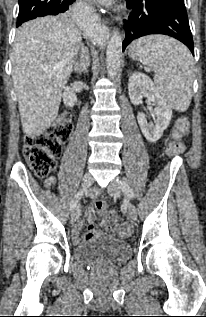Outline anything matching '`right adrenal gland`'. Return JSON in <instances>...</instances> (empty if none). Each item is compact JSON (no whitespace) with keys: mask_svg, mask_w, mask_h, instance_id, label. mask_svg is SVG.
Wrapping results in <instances>:
<instances>
[{"mask_svg":"<svg viewBox=\"0 0 206 317\" xmlns=\"http://www.w3.org/2000/svg\"><path fill=\"white\" fill-rule=\"evenodd\" d=\"M80 56H81L80 60L75 63V66H74L75 70L78 71V72H81V71H85L86 72V71H88V68H89V65H90V59H89L88 49L86 47H84L83 45L81 47ZM82 61L85 64L83 70H81V68L79 66Z\"/></svg>","mask_w":206,"mask_h":317,"instance_id":"1","label":"right adrenal gland"}]
</instances>
